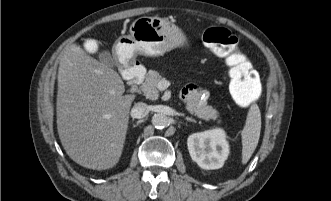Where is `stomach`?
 <instances>
[{
  "instance_id": "1",
  "label": "stomach",
  "mask_w": 331,
  "mask_h": 201,
  "mask_svg": "<svg viewBox=\"0 0 331 201\" xmlns=\"http://www.w3.org/2000/svg\"><path fill=\"white\" fill-rule=\"evenodd\" d=\"M129 31L130 34L120 36L115 42L116 55L124 65L139 54L161 56L187 44L185 35L177 26L159 17L137 18Z\"/></svg>"
}]
</instances>
